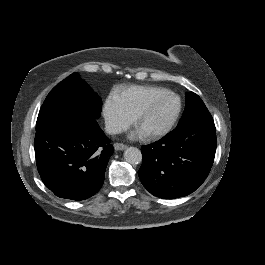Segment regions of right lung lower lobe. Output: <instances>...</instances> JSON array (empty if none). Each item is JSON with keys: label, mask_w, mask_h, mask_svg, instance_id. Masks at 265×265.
I'll return each mask as SVG.
<instances>
[{"label": "right lung lower lobe", "mask_w": 265, "mask_h": 265, "mask_svg": "<svg viewBox=\"0 0 265 265\" xmlns=\"http://www.w3.org/2000/svg\"><path fill=\"white\" fill-rule=\"evenodd\" d=\"M109 142L96 119L55 113L36 127L34 148L43 183L60 198L93 196L114 151Z\"/></svg>", "instance_id": "98d812e1"}]
</instances>
